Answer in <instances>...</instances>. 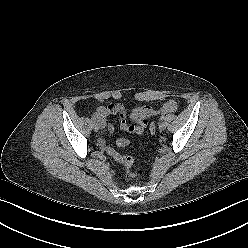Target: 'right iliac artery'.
I'll list each match as a JSON object with an SVG mask.
<instances>
[{
	"instance_id": "obj_1",
	"label": "right iliac artery",
	"mask_w": 248,
	"mask_h": 248,
	"mask_svg": "<svg viewBox=\"0 0 248 248\" xmlns=\"http://www.w3.org/2000/svg\"><path fill=\"white\" fill-rule=\"evenodd\" d=\"M91 121L95 122L96 121V117L95 116H92L91 117Z\"/></svg>"
}]
</instances>
